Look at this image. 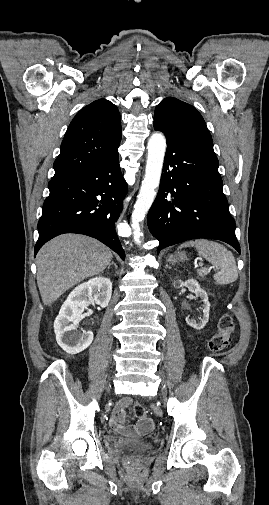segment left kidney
<instances>
[{
	"label": "left kidney",
	"instance_id": "5707ae66",
	"mask_svg": "<svg viewBox=\"0 0 269 505\" xmlns=\"http://www.w3.org/2000/svg\"><path fill=\"white\" fill-rule=\"evenodd\" d=\"M182 286L187 287L191 292H193L196 295V297H199L200 299H202L203 315L200 318V321L196 322L195 320L190 319L189 316L186 317V323L190 327H192L196 330H201L204 328V326L206 325V323L209 320L210 302L208 300V295H207L206 291L203 290L200 287L199 283L194 279H189L185 282H183L181 280H177L176 282H174V287H182Z\"/></svg>",
	"mask_w": 269,
	"mask_h": 505
}]
</instances>
